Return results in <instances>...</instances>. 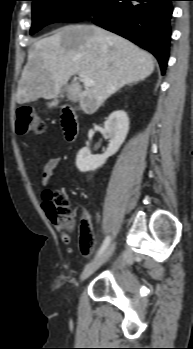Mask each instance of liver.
Returning a JSON list of instances; mask_svg holds the SVG:
<instances>
[{"instance_id": "1", "label": "liver", "mask_w": 193, "mask_h": 349, "mask_svg": "<svg viewBox=\"0 0 193 349\" xmlns=\"http://www.w3.org/2000/svg\"><path fill=\"white\" fill-rule=\"evenodd\" d=\"M154 71L153 56L130 41L95 25H68L33 43L18 83V104L56 98L71 76L85 74L94 86L66 88L68 98L94 113L124 85L144 80Z\"/></svg>"}]
</instances>
